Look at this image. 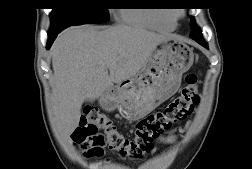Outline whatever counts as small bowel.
<instances>
[{"label":"small bowel","mask_w":252,"mask_h":169,"mask_svg":"<svg viewBox=\"0 0 252 169\" xmlns=\"http://www.w3.org/2000/svg\"><path fill=\"white\" fill-rule=\"evenodd\" d=\"M176 140V136L174 134H170L167 136H163L159 139L161 143H173Z\"/></svg>","instance_id":"1"}]
</instances>
